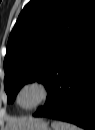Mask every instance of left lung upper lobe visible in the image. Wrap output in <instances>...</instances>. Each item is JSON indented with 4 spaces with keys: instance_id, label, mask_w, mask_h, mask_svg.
Masks as SVG:
<instances>
[{
    "instance_id": "obj_1",
    "label": "left lung upper lobe",
    "mask_w": 95,
    "mask_h": 130,
    "mask_svg": "<svg viewBox=\"0 0 95 130\" xmlns=\"http://www.w3.org/2000/svg\"><path fill=\"white\" fill-rule=\"evenodd\" d=\"M95 13L94 0H32L9 36L4 59L8 103L28 82L48 88L66 48L84 20Z\"/></svg>"
}]
</instances>
